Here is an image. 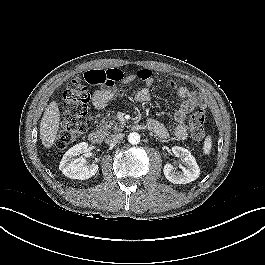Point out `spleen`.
<instances>
[{
	"mask_svg": "<svg viewBox=\"0 0 265 265\" xmlns=\"http://www.w3.org/2000/svg\"><path fill=\"white\" fill-rule=\"evenodd\" d=\"M211 148H212V139H211V136L208 135L204 141V145H203V151H204V154L208 155L211 151Z\"/></svg>",
	"mask_w": 265,
	"mask_h": 265,
	"instance_id": "spleen-1",
	"label": "spleen"
}]
</instances>
